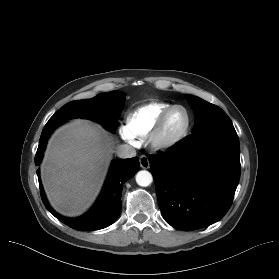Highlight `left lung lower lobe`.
<instances>
[{
	"label": "left lung lower lobe",
	"instance_id": "0a47b994",
	"mask_svg": "<svg viewBox=\"0 0 279 279\" xmlns=\"http://www.w3.org/2000/svg\"><path fill=\"white\" fill-rule=\"evenodd\" d=\"M240 145L234 128L194 132L149 162L167 223L191 231L219 221L240 178Z\"/></svg>",
	"mask_w": 279,
	"mask_h": 279
}]
</instances>
